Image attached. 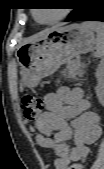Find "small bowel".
I'll use <instances>...</instances> for the list:
<instances>
[{
  "label": "small bowel",
  "mask_w": 104,
  "mask_h": 169,
  "mask_svg": "<svg viewBox=\"0 0 104 169\" xmlns=\"http://www.w3.org/2000/svg\"><path fill=\"white\" fill-rule=\"evenodd\" d=\"M44 104L46 110L35 123L36 140L56 155L55 168L67 169L71 161L85 160L89 146L101 135V125L83 91L61 87L45 94ZM70 139L74 141L73 147L67 144Z\"/></svg>",
  "instance_id": "c3829d8e"
}]
</instances>
